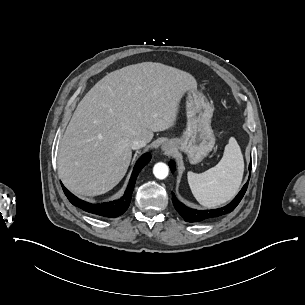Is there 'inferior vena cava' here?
I'll return each instance as SVG.
<instances>
[{"label": "inferior vena cava", "mask_w": 305, "mask_h": 305, "mask_svg": "<svg viewBox=\"0 0 305 305\" xmlns=\"http://www.w3.org/2000/svg\"><path fill=\"white\" fill-rule=\"evenodd\" d=\"M146 145V141L143 138H135L131 143L130 147L134 150L142 148Z\"/></svg>", "instance_id": "inferior-vena-cava-1"}]
</instances>
